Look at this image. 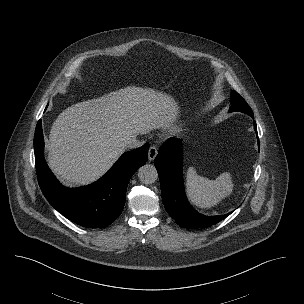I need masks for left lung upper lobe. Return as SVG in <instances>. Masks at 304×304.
<instances>
[{
    "label": "left lung upper lobe",
    "instance_id": "left-lung-upper-lobe-1",
    "mask_svg": "<svg viewBox=\"0 0 304 304\" xmlns=\"http://www.w3.org/2000/svg\"><path fill=\"white\" fill-rule=\"evenodd\" d=\"M231 107L229 109V112H243L245 114H248L249 116L253 117V112L250 106L246 103V101L236 92H231L230 97Z\"/></svg>",
    "mask_w": 304,
    "mask_h": 304
}]
</instances>
